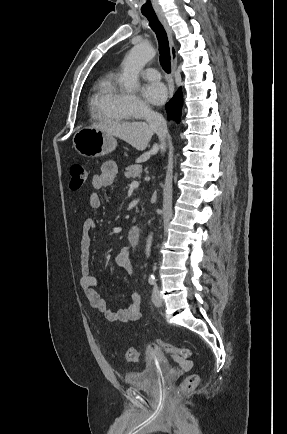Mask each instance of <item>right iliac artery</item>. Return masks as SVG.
<instances>
[{"mask_svg": "<svg viewBox=\"0 0 287 434\" xmlns=\"http://www.w3.org/2000/svg\"><path fill=\"white\" fill-rule=\"evenodd\" d=\"M148 282H149V284H151V285H155V284H156V279H155V276H154L153 274H151V275L149 276Z\"/></svg>", "mask_w": 287, "mask_h": 434, "instance_id": "right-iliac-artery-1", "label": "right iliac artery"}]
</instances>
